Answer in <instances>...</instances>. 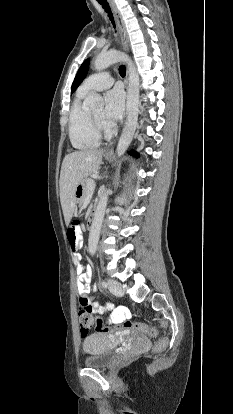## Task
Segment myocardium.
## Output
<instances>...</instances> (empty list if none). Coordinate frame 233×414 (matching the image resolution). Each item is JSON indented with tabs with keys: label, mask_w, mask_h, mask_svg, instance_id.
Masks as SVG:
<instances>
[{
	"label": "myocardium",
	"mask_w": 233,
	"mask_h": 414,
	"mask_svg": "<svg viewBox=\"0 0 233 414\" xmlns=\"http://www.w3.org/2000/svg\"><path fill=\"white\" fill-rule=\"evenodd\" d=\"M90 116V122H91V126L93 128V130L98 134V135H109L113 132V126L112 125H108L105 126L103 124H101L96 117L92 114V112L89 113Z\"/></svg>",
	"instance_id": "obj_1"
}]
</instances>
